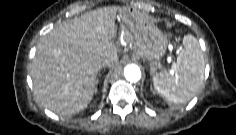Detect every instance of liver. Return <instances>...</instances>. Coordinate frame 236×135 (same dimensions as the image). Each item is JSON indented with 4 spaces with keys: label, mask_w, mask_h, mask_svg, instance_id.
<instances>
[{
    "label": "liver",
    "mask_w": 236,
    "mask_h": 135,
    "mask_svg": "<svg viewBox=\"0 0 236 135\" xmlns=\"http://www.w3.org/2000/svg\"><path fill=\"white\" fill-rule=\"evenodd\" d=\"M126 9L111 6L88 12L59 24L40 39L31 77L42 106L60 116L73 115L88 106L99 71L119 62L115 19L117 12ZM125 26L122 42L134 51L140 33L150 25L133 11V21Z\"/></svg>",
    "instance_id": "obj_1"
}]
</instances>
